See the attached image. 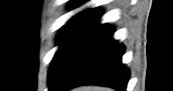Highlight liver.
Masks as SVG:
<instances>
[{"mask_svg":"<svg viewBox=\"0 0 173 91\" xmlns=\"http://www.w3.org/2000/svg\"><path fill=\"white\" fill-rule=\"evenodd\" d=\"M73 91H112L110 88H103L98 86H81L75 88Z\"/></svg>","mask_w":173,"mask_h":91,"instance_id":"liver-1","label":"liver"}]
</instances>
